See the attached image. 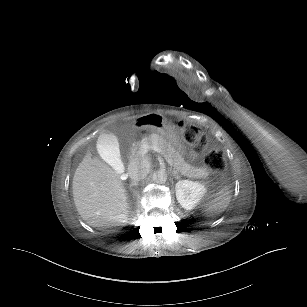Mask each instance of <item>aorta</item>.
Masks as SVG:
<instances>
[{
  "label": "aorta",
  "mask_w": 307,
  "mask_h": 307,
  "mask_svg": "<svg viewBox=\"0 0 307 307\" xmlns=\"http://www.w3.org/2000/svg\"><path fill=\"white\" fill-rule=\"evenodd\" d=\"M153 181L156 183H165L167 181V174L160 169L153 174Z\"/></svg>",
  "instance_id": "aorta-1"
}]
</instances>
